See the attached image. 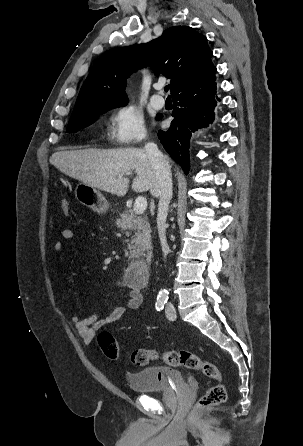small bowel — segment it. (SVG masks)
I'll list each match as a JSON object with an SVG mask.
<instances>
[{"label": "small bowel", "instance_id": "small-bowel-1", "mask_svg": "<svg viewBox=\"0 0 303 446\" xmlns=\"http://www.w3.org/2000/svg\"><path fill=\"white\" fill-rule=\"evenodd\" d=\"M62 238L69 241L74 238L75 233L70 228H65L62 231ZM63 242L57 241L54 244V251L60 252L63 250ZM126 286L129 290V298L126 305H120L113 308V310L105 317L100 312L94 313L88 317L81 318L77 314L71 316V322L74 325L79 337L85 344H90L95 336V332L110 324H113L122 319L129 310H137L142 304V293L140 288L130 285L128 282Z\"/></svg>", "mask_w": 303, "mask_h": 446}]
</instances>
